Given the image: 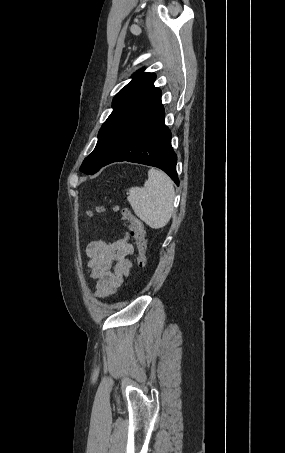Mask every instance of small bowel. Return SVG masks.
<instances>
[{
    "label": "small bowel",
    "instance_id": "obj_1",
    "mask_svg": "<svg viewBox=\"0 0 285 453\" xmlns=\"http://www.w3.org/2000/svg\"><path fill=\"white\" fill-rule=\"evenodd\" d=\"M89 275L95 280V294L105 298L114 294L128 278L134 254L129 236L115 241L95 240L87 245Z\"/></svg>",
    "mask_w": 285,
    "mask_h": 453
}]
</instances>
